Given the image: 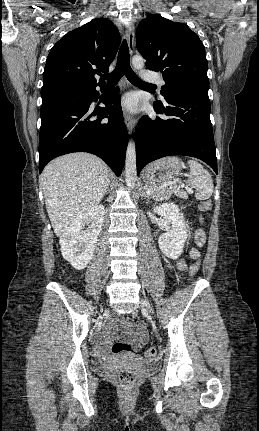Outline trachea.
Returning <instances> with one entry per match:
<instances>
[{"label":"trachea","mask_w":259,"mask_h":431,"mask_svg":"<svg viewBox=\"0 0 259 431\" xmlns=\"http://www.w3.org/2000/svg\"><path fill=\"white\" fill-rule=\"evenodd\" d=\"M123 75H125L133 84L152 85L142 81L131 69L129 62V48L126 40H123L120 47L114 71L110 74L104 75L103 77L108 81V84H116Z\"/></svg>","instance_id":"1"}]
</instances>
